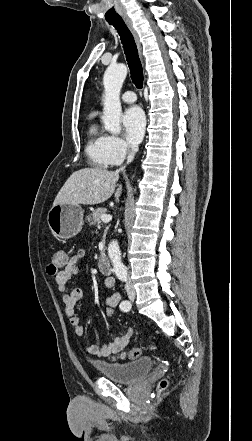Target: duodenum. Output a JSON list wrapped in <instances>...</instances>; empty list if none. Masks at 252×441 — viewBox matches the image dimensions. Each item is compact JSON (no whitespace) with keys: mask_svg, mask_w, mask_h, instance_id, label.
<instances>
[{"mask_svg":"<svg viewBox=\"0 0 252 441\" xmlns=\"http://www.w3.org/2000/svg\"><path fill=\"white\" fill-rule=\"evenodd\" d=\"M98 265H99V269L104 274H107V275L111 274L112 266H111V263H110V261L108 260V258L106 256H104V255L100 256Z\"/></svg>","mask_w":252,"mask_h":441,"instance_id":"1","label":"duodenum"}]
</instances>
